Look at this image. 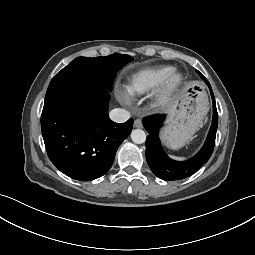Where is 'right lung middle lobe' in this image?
<instances>
[{
	"mask_svg": "<svg viewBox=\"0 0 255 255\" xmlns=\"http://www.w3.org/2000/svg\"><path fill=\"white\" fill-rule=\"evenodd\" d=\"M133 58L119 53L106 57H78L59 71L49 85L67 81H88L112 90L116 73Z\"/></svg>",
	"mask_w": 255,
	"mask_h": 255,
	"instance_id": "dd1d6c3e",
	"label": "right lung middle lobe"
}]
</instances>
